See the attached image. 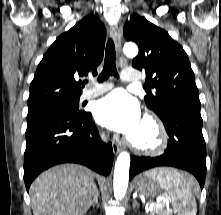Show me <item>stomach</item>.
I'll use <instances>...</instances> for the list:
<instances>
[{
	"label": "stomach",
	"mask_w": 221,
	"mask_h": 215,
	"mask_svg": "<svg viewBox=\"0 0 221 215\" xmlns=\"http://www.w3.org/2000/svg\"><path fill=\"white\" fill-rule=\"evenodd\" d=\"M162 170L163 169H154L139 175L136 178V190L146 197L155 196L162 188L157 180V174Z\"/></svg>",
	"instance_id": "stomach-1"
}]
</instances>
